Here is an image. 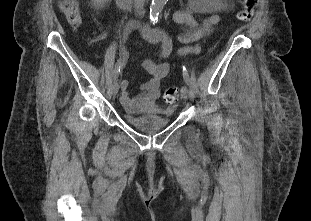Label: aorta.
I'll return each instance as SVG.
<instances>
[{
	"instance_id": "762f6f07",
	"label": "aorta",
	"mask_w": 311,
	"mask_h": 221,
	"mask_svg": "<svg viewBox=\"0 0 311 221\" xmlns=\"http://www.w3.org/2000/svg\"><path fill=\"white\" fill-rule=\"evenodd\" d=\"M165 0H152L150 6V18L151 20H157L159 12L163 10Z\"/></svg>"
}]
</instances>
